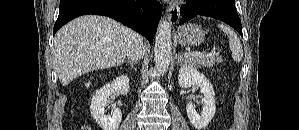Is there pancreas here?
<instances>
[{
  "instance_id": "cf45deb5",
  "label": "pancreas",
  "mask_w": 299,
  "mask_h": 130,
  "mask_svg": "<svg viewBox=\"0 0 299 130\" xmlns=\"http://www.w3.org/2000/svg\"><path fill=\"white\" fill-rule=\"evenodd\" d=\"M221 57L202 56V57H186L185 63L192 67H213L216 63H221Z\"/></svg>"
}]
</instances>
